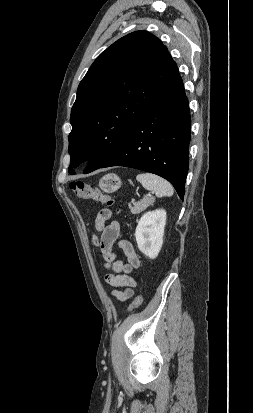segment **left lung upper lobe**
<instances>
[{
    "label": "left lung upper lobe",
    "mask_w": 253,
    "mask_h": 413,
    "mask_svg": "<svg viewBox=\"0 0 253 413\" xmlns=\"http://www.w3.org/2000/svg\"><path fill=\"white\" fill-rule=\"evenodd\" d=\"M177 68L161 40L132 32L103 51L78 86L71 109L69 173L89 159L84 173L102 166L168 84Z\"/></svg>",
    "instance_id": "1"
}]
</instances>
